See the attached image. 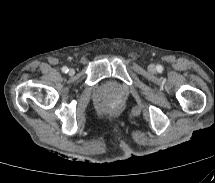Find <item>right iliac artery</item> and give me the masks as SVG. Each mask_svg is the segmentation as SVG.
<instances>
[{"label":"right iliac artery","mask_w":215,"mask_h":183,"mask_svg":"<svg viewBox=\"0 0 215 183\" xmlns=\"http://www.w3.org/2000/svg\"><path fill=\"white\" fill-rule=\"evenodd\" d=\"M62 72L67 73L68 72V68L67 67H63L62 68Z\"/></svg>","instance_id":"right-iliac-artery-1"}]
</instances>
